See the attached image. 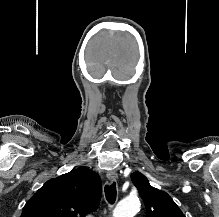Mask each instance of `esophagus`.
Instances as JSON below:
<instances>
[{"label": "esophagus", "mask_w": 219, "mask_h": 217, "mask_svg": "<svg viewBox=\"0 0 219 217\" xmlns=\"http://www.w3.org/2000/svg\"><path fill=\"white\" fill-rule=\"evenodd\" d=\"M107 180L109 183H113L117 180V173L115 171H108L106 174Z\"/></svg>", "instance_id": "34e87169"}]
</instances>
